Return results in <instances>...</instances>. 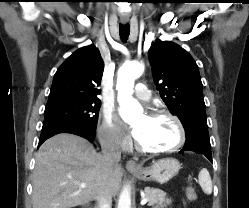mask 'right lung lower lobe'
I'll return each mask as SVG.
<instances>
[{
    "instance_id": "1",
    "label": "right lung lower lobe",
    "mask_w": 249,
    "mask_h": 208,
    "mask_svg": "<svg viewBox=\"0 0 249 208\" xmlns=\"http://www.w3.org/2000/svg\"><path fill=\"white\" fill-rule=\"evenodd\" d=\"M96 130V129H95ZM95 130L83 127L78 124L58 121V120H44L39 139L38 147L48 138L59 133H71L86 138L90 142L93 141Z\"/></svg>"
}]
</instances>
